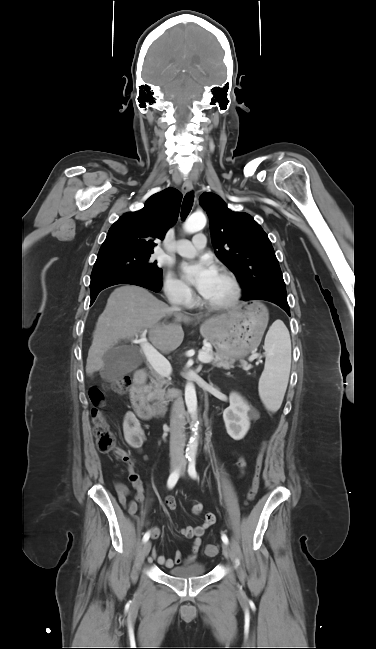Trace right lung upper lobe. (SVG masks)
Segmentation results:
<instances>
[{
	"label": "right lung upper lobe",
	"instance_id": "1",
	"mask_svg": "<svg viewBox=\"0 0 376 649\" xmlns=\"http://www.w3.org/2000/svg\"><path fill=\"white\" fill-rule=\"evenodd\" d=\"M182 194L174 188L152 195L144 207L121 216L109 229L99 253L153 251L155 239L163 240L179 215Z\"/></svg>",
	"mask_w": 376,
	"mask_h": 649
}]
</instances>
